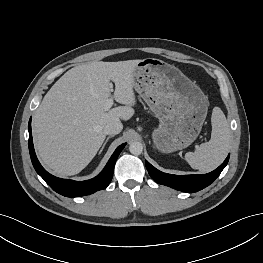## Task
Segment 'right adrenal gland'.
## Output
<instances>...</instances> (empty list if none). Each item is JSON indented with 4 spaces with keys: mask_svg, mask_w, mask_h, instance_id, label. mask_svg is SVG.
<instances>
[{
    "mask_svg": "<svg viewBox=\"0 0 263 263\" xmlns=\"http://www.w3.org/2000/svg\"><path fill=\"white\" fill-rule=\"evenodd\" d=\"M112 137H113V135H110V136H108V137L106 138L105 142L103 143V145H102V147H101V149H100V151H99V154L103 151V149H104L105 145L107 144L108 140H109L110 138H112Z\"/></svg>",
    "mask_w": 263,
    "mask_h": 263,
    "instance_id": "right-adrenal-gland-1",
    "label": "right adrenal gland"
}]
</instances>
